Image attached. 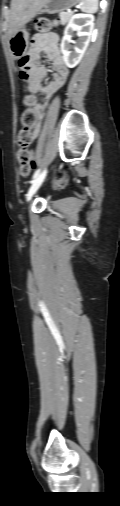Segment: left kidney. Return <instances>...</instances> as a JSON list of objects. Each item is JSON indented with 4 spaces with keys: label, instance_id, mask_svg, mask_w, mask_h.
Instances as JSON below:
<instances>
[{
    "label": "left kidney",
    "instance_id": "left-kidney-1",
    "mask_svg": "<svg viewBox=\"0 0 120 506\" xmlns=\"http://www.w3.org/2000/svg\"><path fill=\"white\" fill-rule=\"evenodd\" d=\"M94 29V18L86 14L73 15L64 30V36L61 41V52L63 61L67 67H75L82 59L89 42L91 41ZM76 32L78 41L72 40L73 33ZM70 43H75L74 52L70 51Z\"/></svg>",
    "mask_w": 120,
    "mask_h": 506
}]
</instances>
